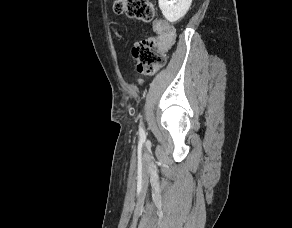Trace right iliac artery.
<instances>
[{
	"label": "right iliac artery",
	"instance_id": "obj_1",
	"mask_svg": "<svg viewBox=\"0 0 292 228\" xmlns=\"http://www.w3.org/2000/svg\"><path fill=\"white\" fill-rule=\"evenodd\" d=\"M139 132H140L141 135H144V130H143V127H142V123H140Z\"/></svg>",
	"mask_w": 292,
	"mask_h": 228
}]
</instances>
